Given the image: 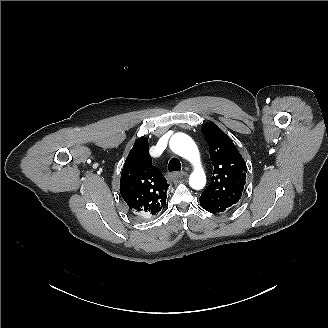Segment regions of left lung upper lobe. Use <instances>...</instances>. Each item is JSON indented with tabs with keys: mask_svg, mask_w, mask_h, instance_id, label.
Instances as JSON below:
<instances>
[{
	"mask_svg": "<svg viewBox=\"0 0 328 328\" xmlns=\"http://www.w3.org/2000/svg\"><path fill=\"white\" fill-rule=\"evenodd\" d=\"M210 159L214 166L209 186L200 197V206L217 213L236 204L244 189L247 167L232 140L214 123L203 125Z\"/></svg>",
	"mask_w": 328,
	"mask_h": 328,
	"instance_id": "left-lung-upper-lobe-1",
	"label": "left lung upper lobe"
}]
</instances>
